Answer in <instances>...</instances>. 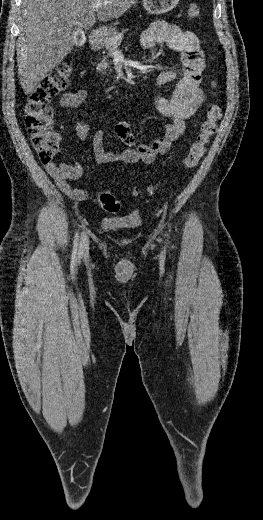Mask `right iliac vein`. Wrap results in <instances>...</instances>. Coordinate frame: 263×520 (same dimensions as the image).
Masks as SVG:
<instances>
[{
	"mask_svg": "<svg viewBox=\"0 0 263 520\" xmlns=\"http://www.w3.org/2000/svg\"><path fill=\"white\" fill-rule=\"evenodd\" d=\"M88 250H89V239L86 234H83L81 236V241L79 244V254L86 255V254H88Z\"/></svg>",
	"mask_w": 263,
	"mask_h": 520,
	"instance_id": "63e3f726",
	"label": "right iliac vein"
}]
</instances>
